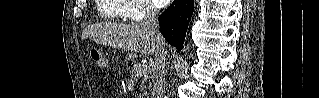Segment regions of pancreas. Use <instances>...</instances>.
<instances>
[{"instance_id": "obj_1", "label": "pancreas", "mask_w": 319, "mask_h": 98, "mask_svg": "<svg viewBox=\"0 0 319 98\" xmlns=\"http://www.w3.org/2000/svg\"><path fill=\"white\" fill-rule=\"evenodd\" d=\"M126 60L128 62H131L132 64H135L137 61V55L130 53L128 57H126ZM142 67L140 64H138V67ZM149 70L143 73L142 75H137V76H146L148 74ZM132 74L135 75L134 71L132 70Z\"/></svg>"}]
</instances>
